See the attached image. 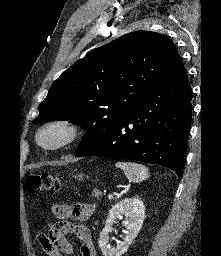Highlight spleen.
Returning <instances> with one entry per match:
<instances>
[{
  "instance_id": "3e777b00",
  "label": "spleen",
  "mask_w": 221,
  "mask_h": 256,
  "mask_svg": "<svg viewBox=\"0 0 221 256\" xmlns=\"http://www.w3.org/2000/svg\"><path fill=\"white\" fill-rule=\"evenodd\" d=\"M115 165L117 168L124 171L125 176L129 180L136 183L145 180L149 175L148 169L139 163L117 162Z\"/></svg>"
}]
</instances>
